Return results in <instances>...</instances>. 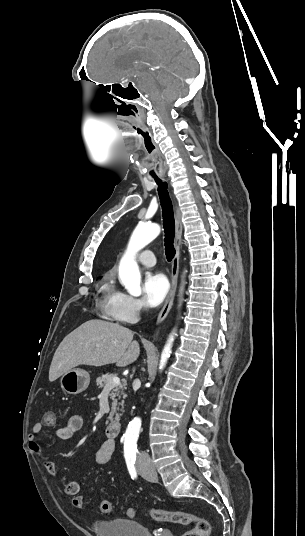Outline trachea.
Wrapping results in <instances>:
<instances>
[{
    "label": "trachea",
    "instance_id": "obj_1",
    "mask_svg": "<svg viewBox=\"0 0 305 536\" xmlns=\"http://www.w3.org/2000/svg\"><path fill=\"white\" fill-rule=\"evenodd\" d=\"M158 185V194L162 207L163 226H164V246L167 261L173 260L175 256L174 237H175V220L173 214V205L167 190L166 181L154 177Z\"/></svg>",
    "mask_w": 305,
    "mask_h": 536
}]
</instances>
